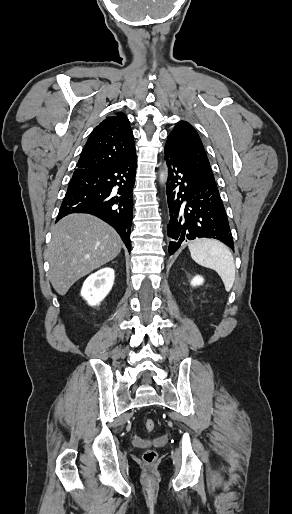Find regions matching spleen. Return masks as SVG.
Returning a JSON list of instances; mask_svg holds the SVG:
<instances>
[{"label":"spleen","instance_id":"3e777b00","mask_svg":"<svg viewBox=\"0 0 292 514\" xmlns=\"http://www.w3.org/2000/svg\"><path fill=\"white\" fill-rule=\"evenodd\" d=\"M189 250L192 260L204 266L211 268L219 274L227 292H230L235 282V264L234 258L227 246L217 242V240H193L189 244Z\"/></svg>","mask_w":292,"mask_h":514}]
</instances>
